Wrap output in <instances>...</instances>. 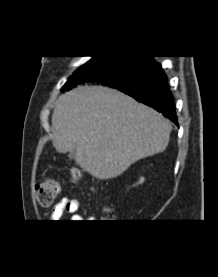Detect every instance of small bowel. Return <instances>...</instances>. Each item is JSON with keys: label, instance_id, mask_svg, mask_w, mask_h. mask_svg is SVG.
I'll return each mask as SVG.
<instances>
[{"label": "small bowel", "instance_id": "c3829d8e", "mask_svg": "<svg viewBox=\"0 0 218 277\" xmlns=\"http://www.w3.org/2000/svg\"><path fill=\"white\" fill-rule=\"evenodd\" d=\"M79 208V201L76 198L68 196L62 197L59 202L53 207L49 214V222H59L65 215L71 216L75 222H81L83 217L76 212Z\"/></svg>", "mask_w": 218, "mask_h": 277}]
</instances>
